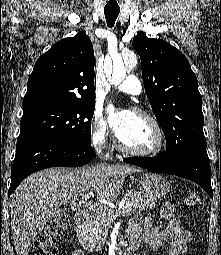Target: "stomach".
I'll use <instances>...</instances> for the list:
<instances>
[{
	"mask_svg": "<svg viewBox=\"0 0 221 255\" xmlns=\"http://www.w3.org/2000/svg\"><path fill=\"white\" fill-rule=\"evenodd\" d=\"M141 194L152 201H155L170 190L169 182L157 174H144L139 181Z\"/></svg>",
	"mask_w": 221,
	"mask_h": 255,
	"instance_id": "0dacf381",
	"label": "stomach"
}]
</instances>
